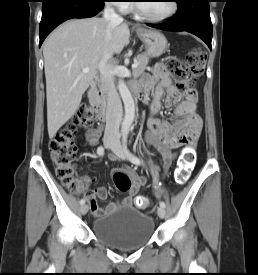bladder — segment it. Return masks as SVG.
<instances>
[{"instance_id":"bladder-1","label":"bladder","mask_w":258,"mask_h":275,"mask_svg":"<svg viewBox=\"0 0 258 275\" xmlns=\"http://www.w3.org/2000/svg\"><path fill=\"white\" fill-rule=\"evenodd\" d=\"M154 229L152 217L132 207L100 216L92 224L97 238L118 249L144 246L152 238Z\"/></svg>"}]
</instances>
